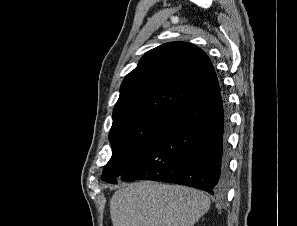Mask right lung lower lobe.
<instances>
[{
  "instance_id": "1",
  "label": "right lung lower lobe",
  "mask_w": 297,
  "mask_h": 226,
  "mask_svg": "<svg viewBox=\"0 0 297 226\" xmlns=\"http://www.w3.org/2000/svg\"><path fill=\"white\" fill-rule=\"evenodd\" d=\"M229 126L224 94L219 91L195 100L171 115L118 180L149 179L221 193L228 172Z\"/></svg>"
}]
</instances>
